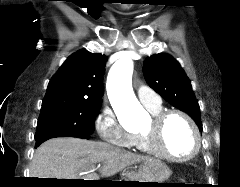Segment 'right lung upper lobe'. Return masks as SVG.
I'll return each mask as SVG.
<instances>
[{
    "label": "right lung upper lobe",
    "mask_w": 240,
    "mask_h": 187,
    "mask_svg": "<svg viewBox=\"0 0 240 187\" xmlns=\"http://www.w3.org/2000/svg\"><path fill=\"white\" fill-rule=\"evenodd\" d=\"M107 57L85 49L69 56L51 78L42 106L62 103H101Z\"/></svg>",
    "instance_id": "1"
}]
</instances>
